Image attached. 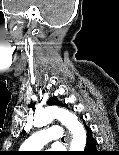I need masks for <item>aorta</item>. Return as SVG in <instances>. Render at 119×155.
Instances as JSON below:
<instances>
[{
  "label": "aorta",
  "instance_id": "1",
  "mask_svg": "<svg viewBox=\"0 0 119 155\" xmlns=\"http://www.w3.org/2000/svg\"><path fill=\"white\" fill-rule=\"evenodd\" d=\"M58 119L72 134L71 151H83L86 144V132L77 117L71 112L59 107H46L34 116V126L43 127Z\"/></svg>",
  "mask_w": 119,
  "mask_h": 155
}]
</instances>
